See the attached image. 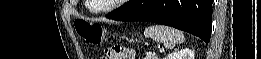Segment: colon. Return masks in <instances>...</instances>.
<instances>
[{"label": "colon", "mask_w": 261, "mask_h": 59, "mask_svg": "<svg viewBox=\"0 0 261 59\" xmlns=\"http://www.w3.org/2000/svg\"><path fill=\"white\" fill-rule=\"evenodd\" d=\"M77 33L88 43L93 45L102 44L105 41V29L101 24L77 21L75 23ZM105 59H133L132 50L123 46H113L106 49Z\"/></svg>", "instance_id": "5ec220e1"}]
</instances>
